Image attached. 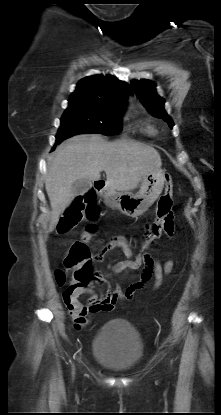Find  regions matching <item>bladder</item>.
Segmentation results:
<instances>
[{
  "mask_svg": "<svg viewBox=\"0 0 221 415\" xmlns=\"http://www.w3.org/2000/svg\"><path fill=\"white\" fill-rule=\"evenodd\" d=\"M93 356L114 372L131 370L142 358L143 342L137 329L125 319L107 321L94 337Z\"/></svg>",
  "mask_w": 221,
  "mask_h": 415,
  "instance_id": "obj_1",
  "label": "bladder"
}]
</instances>
